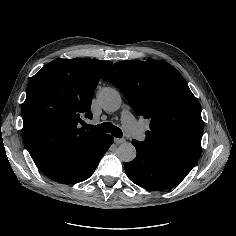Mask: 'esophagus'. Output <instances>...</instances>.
<instances>
[{
    "mask_svg": "<svg viewBox=\"0 0 236 236\" xmlns=\"http://www.w3.org/2000/svg\"><path fill=\"white\" fill-rule=\"evenodd\" d=\"M124 141H125L124 139L114 138V142H115L116 144L123 143Z\"/></svg>",
    "mask_w": 236,
    "mask_h": 236,
    "instance_id": "1",
    "label": "esophagus"
}]
</instances>
